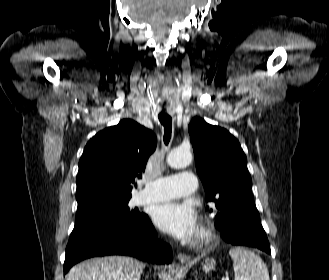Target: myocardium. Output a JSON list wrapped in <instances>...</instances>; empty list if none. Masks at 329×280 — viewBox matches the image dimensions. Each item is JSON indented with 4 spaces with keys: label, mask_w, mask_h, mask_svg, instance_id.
<instances>
[{
    "label": "myocardium",
    "mask_w": 329,
    "mask_h": 280,
    "mask_svg": "<svg viewBox=\"0 0 329 280\" xmlns=\"http://www.w3.org/2000/svg\"><path fill=\"white\" fill-rule=\"evenodd\" d=\"M212 239V232L210 229L203 227L200 229L197 238L195 240V244L197 246H203L210 242Z\"/></svg>",
    "instance_id": "obj_1"
}]
</instances>
